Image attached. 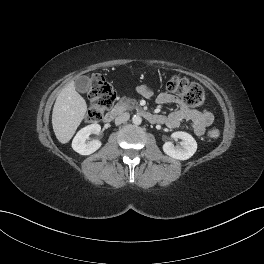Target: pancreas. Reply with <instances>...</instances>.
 I'll return each instance as SVG.
<instances>
[{"label": "pancreas", "instance_id": "pancreas-1", "mask_svg": "<svg viewBox=\"0 0 264 264\" xmlns=\"http://www.w3.org/2000/svg\"><path fill=\"white\" fill-rule=\"evenodd\" d=\"M136 102L132 99L122 98L116 105L118 110H128L132 109V105H135Z\"/></svg>", "mask_w": 264, "mask_h": 264}]
</instances>
